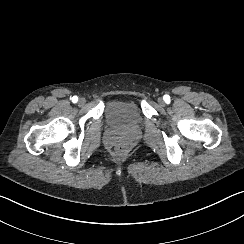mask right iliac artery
Segmentation results:
<instances>
[{"label":"right iliac artery","instance_id":"obj_1","mask_svg":"<svg viewBox=\"0 0 244 244\" xmlns=\"http://www.w3.org/2000/svg\"><path fill=\"white\" fill-rule=\"evenodd\" d=\"M77 101H78V97H77V96H73V97H72V102H73V103H76Z\"/></svg>","mask_w":244,"mask_h":244}]
</instances>
